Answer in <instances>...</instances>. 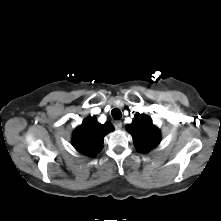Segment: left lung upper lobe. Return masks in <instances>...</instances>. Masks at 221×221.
<instances>
[{"mask_svg":"<svg viewBox=\"0 0 221 221\" xmlns=\"http://www.w3.org/2000/svg\"><path fill=\"white\" fill-rule=\"evenodd\" d=\"M126 129L132 135L135 147L139 152L147 153L160 142L159 129L144 114L134 115L133 123L127 125Z\"/></svg>","mask_w":221,"mask_h":221,"instance_id":"1","label":"left lung upper lobe"}]
</instances>
